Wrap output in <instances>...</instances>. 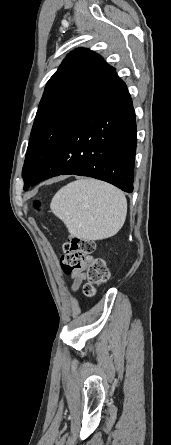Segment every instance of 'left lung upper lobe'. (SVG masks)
I'll use <instances>...</instances> for the list:
<instances>
[{
	"label": "left lung upper lobe",
	"instance_id": "1",
	"mask_svg": "<svg viewBox=\"0 0 171 445\" xmlns=\"http://www.w3.org/2000/svg\"><path fill=\"white\" fill-rule=\"evenodd\" d=\"M124 82L98 54L80 48L63 60L47 82L38 107L25 162L24 183L32 178L70 128Z\"/></svg>",
	"mask_w": 171,
	"mask_h": 445
}]
</instances>
